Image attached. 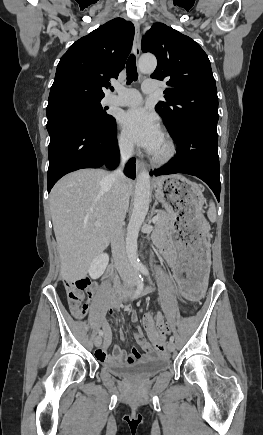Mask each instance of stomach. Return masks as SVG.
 Instances as JSON below:
<instances>
[{"mask_svg":"<svg viewBox=\"0 0 263 435\" xmlns=\"http://www.w3.org/2000/svg\"><path fill=\"white\" fill-rule=\"evenodd\" d=\"M156 199L169 211L175 224H169L172 246L176 247L178 261L173 264L171 276L178 298L187 305H196L205 298V288L211 287L207 262L210 261L212 240L209 217L204 216V197L198 184L182 175L156 178Z\"/></svg>","mask_w":263,"mask_h":435,"instance_id":"obj_1","label":"stomach"}]
</instances>
